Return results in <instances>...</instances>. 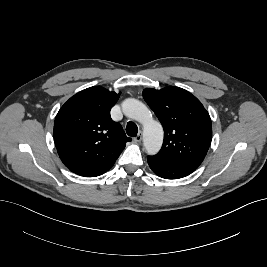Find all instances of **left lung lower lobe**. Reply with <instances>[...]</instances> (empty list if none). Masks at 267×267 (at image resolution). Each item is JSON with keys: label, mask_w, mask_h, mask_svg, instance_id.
Here are the masks:
<instances>
[{"label": "left lung lower lobe", "mask_w": 267, "mask_h": 267, "mask_svg": "<svg viewBox=\"0 0 267 267\" xmlns=\"http://www.w3.org/2000/svg\"><path fill=\"white\" fill-rule=\"evenodd\" d=\"M147 161L153 172L165 179L182 178L196 170L190 166L162 163L150 157L147 158Z\"/></svg>", "instance_id": "left-lung-lower-lobe-1"}]
</instances>
